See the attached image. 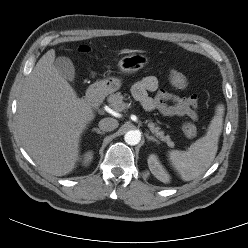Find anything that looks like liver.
<instances>
[{"label":"liver","instance_id":"liver-1","mask_svg":"<svg viewBox=\"0 0 248 248\" xmlns=\"http://www.w3.org/2000/svg\"><path fill=\"white\" fill-rule=\"evenodd\" d=\"M54 60L51 49L29 74L18 102L17 130L24 149L42 170L64 176L77 165L81 135L94 112L59 74Z\"/></svg>","mask_w":248,"mask_h":248}]
</instances>
